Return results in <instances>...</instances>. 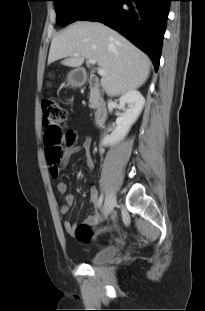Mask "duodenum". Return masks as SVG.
Segmentation results:
<instances>
[{
  "mask_svg": "<svg viewBox=\"0 0 205 311\" xmlns=\"http://www.w3.org/2000/svg\"><path fill=\"white\" fill-rule=\"evenodd\" d=\"M75 82H85L91 88V91L95 97L96 109L94 113L95 124L104 122L108 116L107 102L99 96V79L89 75L82 69L76 70L74 73Z\"/></svg>",
  "mask_w": 205,
  "mask_h": 311,
  "instance_id": "obj_1",
  "label": "duodenum"
}]
</instances>
